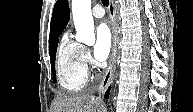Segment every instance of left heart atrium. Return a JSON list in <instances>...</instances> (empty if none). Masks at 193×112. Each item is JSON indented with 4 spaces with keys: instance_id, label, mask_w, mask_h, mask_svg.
Here are the masks:
<instances>
[{
    "instance_id": "39dd6f15",
    "label": "left heart atrium",
    "mask_w": 193,
    "mask_h": 112,
    "mask_svg": "<svg viewBox=\"0 0 193 112\" xmlns=\"http://www.w3.org/2000/svg\"><path fill=\"white\" fill-rule=\"evenodd\" d=\"M111 33L106 24H100L96 28V40L93 47L94 58L98 62H102L107 59L111 49Z\"/></svg>"
}]
</instances>
